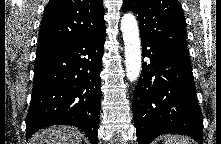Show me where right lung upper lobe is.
<instances>
[{
    "label": "right lung upper lobe",
    "mask_w": 221,
    "mask_h": 144,
    "mask_svg": "<svg viewBox=\"0 0 221 144\" xmlns=\"http://www.w3.org/2000/svg\"><path fill=\"white\" fill-rule=\"evenodd\" d=\"M103 0H50L36 56H50L105 29Z\"/></svg>",
    "instance_id": "1"
}]
</instances>
